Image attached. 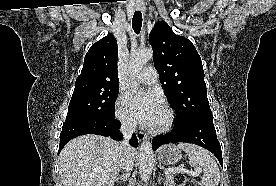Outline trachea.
Returning a JSON list of instances; mask_svg holds the SVG:
<instances>
[{
    "instance_id": "3493384b",
    "label": "trachea",
    "mask_w": 276,
    "mask_h": 186,
    "mask_svg": "<svg viewBox=\"0 0 276 186\" xmlns=\"http://www.w3.org/2000/svg\"><path fill=\"white\" fill-rule=\"evenodd\" d=\"M141 27H142V13L141 11H135L132 19V28L136 34H139Z\"/></svg>"
}]
</instances>
